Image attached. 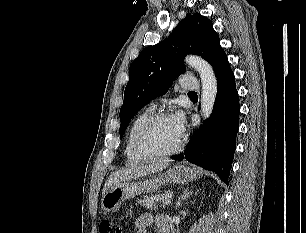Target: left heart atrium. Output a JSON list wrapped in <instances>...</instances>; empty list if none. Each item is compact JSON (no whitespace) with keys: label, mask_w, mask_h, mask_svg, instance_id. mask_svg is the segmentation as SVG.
I'll list each match as a JSON object with an SVG mask.
<instances>
[{"label":"left heart atrium","mask_w":306,"mask_h":233,"mask_svg":"<svg viewBox=\"0 0 306 233\" xmlns=\"http://www.w3.org/2000/svg\"><path fill=\"white\" fill-rule=\"evenodd\" d=\"M173 127L175 128L178 136L181 138L185 132L186 120L182 111L178 110L170 117Z\"/></svg>","instance_id":"1"}]
</instances>
